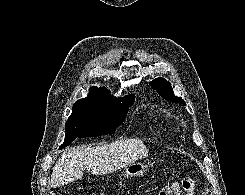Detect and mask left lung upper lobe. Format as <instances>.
I'll return each mask as SVG.
<instances>
[{"label":"left lung upper lobe","mask_w":245,"mask_h":195,"mask_svg":"<svg viewBox=\"0 0 245 195\" xmlns=\"http://www.w3.org/2000/svg\"><path fill=\"white\" fill-rule=\"evenodd\" d=\"M150 85L164 99L185 105V101L182 98L174 96L170 82H167L165 79L157 78Z\"/></svg>","instance_id":"obj_1"}]
</instances>
